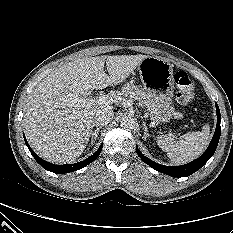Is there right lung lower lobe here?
I'll return each mask as SVG.
<instances>
[{"instance_id":"right-lung-lower-lobe-1","label":"right lung lower lobe","mask_w":233,"mask_h":233,"mask_svg":"<svg viewBox=\"0 0 233 233\" xmlns=\"http://www.w3.org/2000/svg\"><path fill=\"white\" fill-rule=\"evenodd\" d=\"M24 140H25V143H26L27 147L29 148L32 156L34 157V159L46 170L51 171L53 173H57V174H64V173H68V172H73V171L79 170V169L87 166L88 164H90L92 161H94L100 155L101 150H102V145H101L99 147V149L93 155H91L90 157H88L84 161L74 163V164L55 165V164H51V163L43 160L37 154H35L34 151L31 149V147L29 146V144L27 143L25 137H24Z\"/></svg>"}]
</instances>
